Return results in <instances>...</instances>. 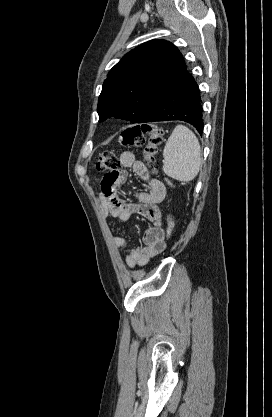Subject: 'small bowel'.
<instances>
[{"mask_svg":"<svg viewBox=\"0 0 272 417\" xmlns=\"http://www.w3.org/2000/svg\"><path fill=\"white\" fill-rule=\"evenodd\" d=\"M120 162L124 168H131L135 175L148 185L147 191L136 193V203H127L121 198V190L126 185L129 173L125 169L115 174H106L100 184L98 201L104 216H111L126 223L133 214L145 217L151 226L145 231L142 247H135L124 236H116L113 243L118 248L129 247L125 257L129 267L143 266L159 254L165 246L162 228V213L159 204L166 197V187L158 179L151 178L145 165L131 152H123Z\"/></svg>","mask_w":272,"mask_h":417,"instance_id":"c3829d8e","label":"small bowel"}]
</instances>
